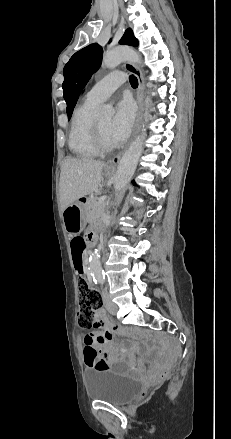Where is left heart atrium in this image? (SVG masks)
Masks as SVG:
<instances>
[{"mask_svg": "<svg viewBox=\"0 0 231 439\" xmlns=\"http://www.w3.org/2000/svg\"><path fill=\"white\" fill-rule=\"evenodd\" d=\"M134 122V108L127 99L121 100L110 124V137L114 145L121 144L129 136Z\"/></svg>", "mask_w": 231, "mask_h": 439, "instance_id": "left-heart-atrium-1", "label": "left heart atrium"}]
</instances>
